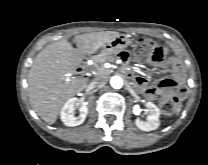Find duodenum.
Here are the masks:
<instances>
[{
    "mask_svg": "<svg viewBox=\"0 0 208 165\" xmlns=\"http://www.w3.org/2000/svg\"><path fill=\"white\" fill-rule=\"evenodd\" d=\"M86 58H83L82 59V61H81V65H80V67H79V69H78V71H79V73L83 76V74H82V70L80 69L85 63H86ZM126 72V74H128L129 75V73L127 72V71H125Z\"/></svg>",
    "mask_w": 208,
    "mask_h": 165,
    "instance_id": "obj_1",
    "label": "duodenum"
}]
</instances>
